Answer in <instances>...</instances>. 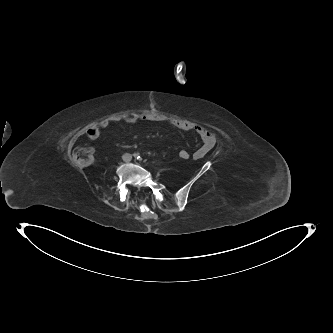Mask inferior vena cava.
Here are the masks:
<instances>
[{"instance_id": "obj_1", "label": "inferior vena cava", "mask_w": 333, "mask_h": 333, "mask_svg": "<svg viewBox=\"0 0 333 333\" xmlns=\"http://www.w3.org/2000/svg\"><path fill=\"white\" fill-rule=\"evenodd\" d=\"M123 160H124L125 162H130V161L132 160V155H131L130 153H125V154L123 155Z\"/></svg>"}]
</instances>
